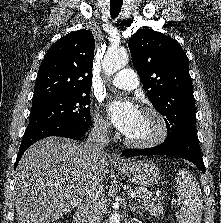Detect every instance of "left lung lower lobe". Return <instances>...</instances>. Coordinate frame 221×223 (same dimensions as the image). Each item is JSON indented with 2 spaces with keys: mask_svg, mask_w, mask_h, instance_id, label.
Segmentation results:
<instances>
[{
  "mask_svg": "<svg viewBox=\"0 0 221 223\" xmlns=\"http://www.w3.org/2000/svg\"><path fill=\"white\" fill-rule=\"evenodd\" d=\"M126 157L138 155H169L191 161L203 173L205 166L201 155L196 133H183L164 143L148 149H126L122 152Z\"/></svg>",
  "mask_w": 221,
  "mask_h": 223,
  "instance_id": "obj_1",
  "label": "left lung lower lobe"
}]
</instances>
